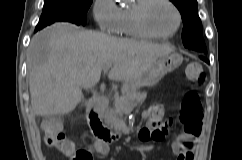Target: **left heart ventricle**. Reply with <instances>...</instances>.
<instances>
[{
    "label": "left heart ventricle",
    "mask_w": 242,
    "mask_h": 160,
    "mask_svg": "<svg viewBox=\"0 0 242 160\" xmlns=\"http://www.w3.org/2000/svg\"><path fill=\"white\" fill-rule=\"evenodd\" d=\"M148 28L157 34H169L177 25V16L170 5L163 0H154L145 11Z\"/></svg>",
    "instance_id": "1"
}]
</instances>
